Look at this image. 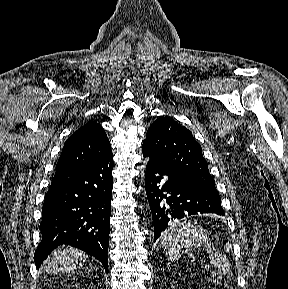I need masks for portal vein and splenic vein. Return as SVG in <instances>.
<instances>
[{
  "label": "portal vein and splenic vein",
  "mask_w": 288,
  "mask_h": 289,
  "mask_svg": "<svg viewBox=\"0 0 288 289\" xmlns=\"http://www.w3.org/2000/svg\"><path fill=\"white\" fill-rule=\"evenodd\" d=\"M205 268H206V269H208V268H209V266H208V265H205Z\"/></svg>",
  "instance_id": "18ae733b"
}]
</instances>
